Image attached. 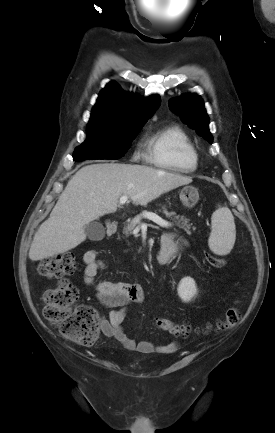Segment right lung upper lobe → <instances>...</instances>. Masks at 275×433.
Wrapping results in <instances>:
<instances>
[{
	"label": "right lung upper lobe",
	"instance_id": "obj_1",
	"mask_svg": "<svg viewBox=\"0 0 275 433\" xmlns=\"http://www.w3.org/2000/svg\"><path fill=\"white\" fill-rule=\"evenodd\" d=\"M160 104L154 95L141 98L124 92L115 82H110L100 92L89 122L125 124L146 122Z\"/></svg>",
	"mask_w": 275,
	"mask_h": 433
}]
</instances>
